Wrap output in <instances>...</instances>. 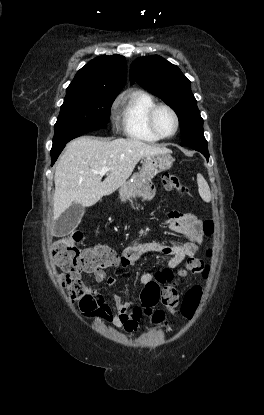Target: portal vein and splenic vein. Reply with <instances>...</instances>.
Here are the masks:
<instances>
[{
    "label": "portal vein and splenic vein",
    "mask_w": 264,
    "mask_h": 415,
    "mask_svg": "<svg viewBox=\"0 0 264 415\" xmlns=\"http://www.w3.org/2000/svg\"><path fill=\"white\" fill-rule=\"evenodd\" d=\"M110 170H111V168H108V167H103V168H101V169H100L97 173H98L99 175L103 176V175L107 174Z\"/></svg>",
    "instance_id": "1"
}]
</instances>
